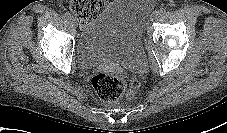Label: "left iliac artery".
<instances>
[{
  "mask_svg": "<svg viewBox=\"0 0 227 133\" xmlns=\"http://www.w3.org/2000/svg\"><path fill=\"white\" fill-rule=\"evenodd\" d=\"M157 14H159V15H164V14H166V9H164V8H160L159 10H157V11H155Z\"/></svg>",
  "mask_w": 227,
  "mask_h": 133,
  "instance_id": "44dca946",
  "label": "left iliac artery"
}]
</instances>
